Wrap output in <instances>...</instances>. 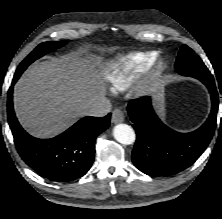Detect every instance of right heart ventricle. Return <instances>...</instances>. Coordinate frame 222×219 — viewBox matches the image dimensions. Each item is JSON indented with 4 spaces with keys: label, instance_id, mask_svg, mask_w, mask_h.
<instances>
[{
    "label": "right heart ventricle",
    "instance_id": "1",
    "mask_svg": "<svg viewBox=\"0 0 222 219\" xmlns=\"http://www.w3.org/2000/svg\"><path fill=\"white\" fill-rule=\"evenodd\" d=\"M157 55L154 51L121 55L106 65L103 71L104 79L111 90H124Z\"/></svg>",
    "mask_w": 222,
    "mask_h": 219
}]
</instances>
